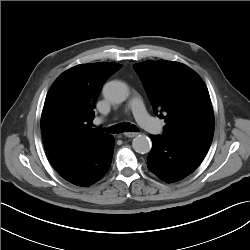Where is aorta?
Here are the masks:
<instances>
[{"instance_id":"obj_1","label":"aorta","mask_w":250,"mask_h":250,"mask_svg":"<svg viewBox=\"0 0 250 250\" xmlns=\"http://www.w3.org/2000/svg\"><path fill=\"white\" fill-rule=\"evenodd\" d=\"M103 96L111 103L119 104L129 96L128 86L121 81H110L103 87ZM133 149L140 154H146L151 150V141L145 135H138L132 141Z\"/></svg>"}]
</instances>
